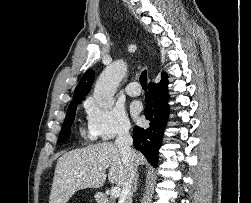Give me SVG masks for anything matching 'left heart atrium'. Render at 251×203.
<instances>
[{
  "label": "left heart atrium",
  "instance_id": "39dd6f15",
  "mask_svg": "<svg viewBox=\"0 0 251 203\" xmlns=\"http://www.w3.org/2000/svg\"><path fill=\"white\" fill-rule=\"evenodd\" d=\"M139 110H140L139 104H135V105L133 106V112H134V114H137V113L139 112Z\"/></svg>",
  "mask_w": 251,
  "mask_h": 203
}]
</instances>
